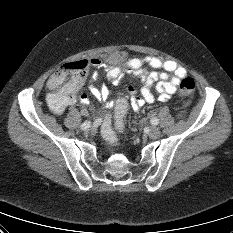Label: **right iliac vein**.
<instances>
[{
  "label": "right iliac vein",
  "mask_w": 233,
  "mask_h": 233,
  "mask_svg": "<svg viewBox=\"0 0 233 233\" xmlns=\"http://www.w3.org/2000/svg\"><path fill=\"white\" fill-rule=\"evenodd\" d=\"M95 134V129L94 128H89V129H84L83 130V135L84 136H89V135H94Z\"/></svg>",
  "instance_id": "obj_1"
}]
</instances>
